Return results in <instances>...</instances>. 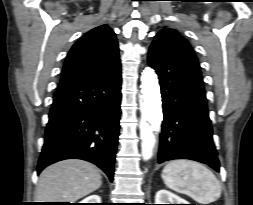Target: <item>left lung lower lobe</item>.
I'll list each match as a JSON object with an SVG mask.
<instances>
[{
    "instance_id": "0a47b994",
    "label": "left lung lower lobe",
    "mask_w": 253,
    "mask_h": 205,
    "mask_svg": "<svg viewBox=\"0 0 253 205\" xmlns=\"http://www.w3.org/2000/svg\"><path fill=\"white\" fill-rule=\"evenodd\" d=\"M148 63L158 74L163 103L158 162L191 159L219 171L201 70L190 44L158 33Z\"/></svg>"
}]
</instances>
